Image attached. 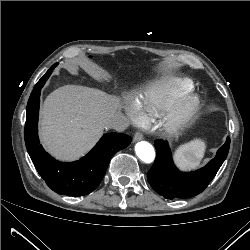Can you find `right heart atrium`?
<instances>
[{"label": "right heart atrium", "mask_w": 250, "mask_h": 250, "mask_svg": "<svg viewBox=\"0 0 250 250\" xmlns=\"http://www.w3.org/2000/svg\"><path fill=\"white\" fill-rule=\"evenodd\" d=\"M126 112L129 120L132 122H138L139 120L143 119L139 107L135 101H129Z\"/></svg>", "instance_id": "obj_1"}]
</instances>
